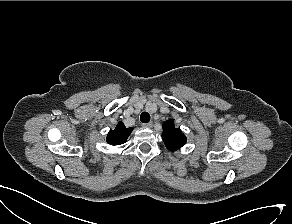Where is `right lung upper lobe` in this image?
<instances>
[{
	"mask_svg": "<svg viewBox=\"0 0 292 224\" xmlns=\"http://www.w3.org/2000/svg\"><path fill=\"white\" fill-rule=\"evenodd\" d=\"M133 131V128H126L122 122H119L114 130L107 135V143L111 145H120L127 141V138Z\"/></svg>",
	"mask_w": 292,
	"mask_h": 224,
	"instance_id": "obj_1",
	"label": "right lung upper lobe"
}]
</instances>
